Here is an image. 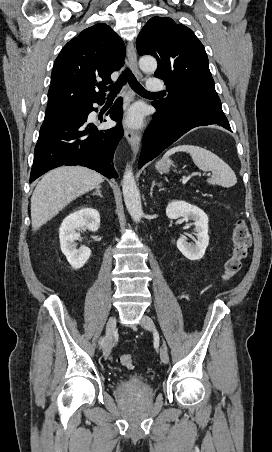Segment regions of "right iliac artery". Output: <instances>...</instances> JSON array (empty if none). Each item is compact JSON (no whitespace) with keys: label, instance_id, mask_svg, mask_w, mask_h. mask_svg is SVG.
<instances>
[{"label":"right iliac artery","instance_id":"obj_1","mask_svg":"<svg viewBox=\"0 0 272 452\" xmlns=\"http://www.w3.org/2000/svg\"><path fill=\"white\" fill-rule=\"evenodd\" d=\"M103 343H104V338H103L102 341H101V346H103Z\"/></svg>","mask_w":272,"mask_h":452}]
</instances>
